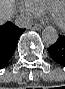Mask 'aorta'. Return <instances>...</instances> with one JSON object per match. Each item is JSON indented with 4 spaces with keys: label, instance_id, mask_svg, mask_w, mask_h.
<instances>
[{
    "label": "aorta",
    "instance_id": "762f6f07",
    "mask_svg": "<svg viewBox=\"0 0 65 89\" xmlns=\"http://www.w3.org/2000/svg\"><path fill=\"white\" fill-rule=\"evenodd\" d=\"M42 40L47 45H53L58 40V32L55 28L48 26L42 31Z\"/></svg>",
    "mask_w": 65,
    "mask_h": 89
}]
</instances>
